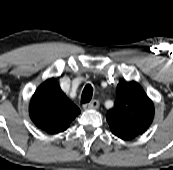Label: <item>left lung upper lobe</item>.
<instances>
[{
	"label": "left lung upper lobe",
	"instance_id": "obj_1",
	"mask_svg": "<svg viewBox=\"0 0 173 170\" xmlns=\"http://www.w3.org/2000/svg\"><path fill=\"white\" fill-rule=\"evenodd\" d=\"M114 108L106 119L112 133L130 140L144 133L154 117V105L143 88L135 81L120 82L116 89Z\"/></svg>",
	"mask_w": 173,
	"mask_h": 170
}]
</instances>
